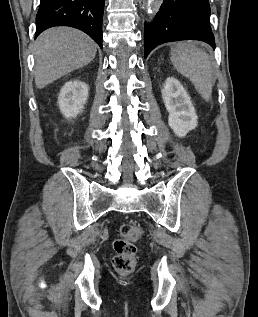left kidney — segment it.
I'll use <instances>...</instances> for the list:
<instances>
[{"label": "left kidney", "instance_id": "1", "mask_svg": "<svg viewBox=\"0 0 258 317\" xmlns=\"http://www.w3.org/2000/svg\"><path fill=\"white\" fill-rule=\"evenodd\" d=\"M161 92L169 112L168 124L173 132L177 136H185L189 130L196 128L198 116L183 84L174 76H168Z\"/></svg>", "mask_w": 258, "mask_h": 317}]
</instances>
